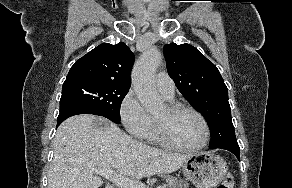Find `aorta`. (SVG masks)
I'll return each instance as SVG.
<instances>
[{
  "label": "aorta",
  "instance_id": "1",
  "mask_svg": "<svg viewBox=\"0 0 292 188\" xmlns=\"http://www.w3.org/2000/svg\"><path fill=\"white\" fill-rule=\"evenodd\" d=\"M161 61V52L156 47H152L140 56L132 73L134 91L141 104L150 113L158 112L163 107V100L154 84V75Z\"/></svg>",
  "mask_w": 292,
  "mask_h": 188
}]
</instances>
